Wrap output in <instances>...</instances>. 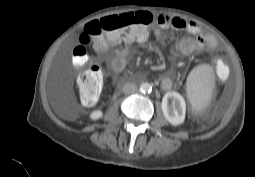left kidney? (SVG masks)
Listing matches in <instances>:
<instances>
[{
  "instance_id": "left-kidney-1",
  "label": "left kidney",
  "mask_w": 255,
  "mask_h": 177,
  "mask_svg": "<svg viewBox=\"0 0 255 177\" xmlns=\"http://www.w3.org/2000/svg\"><path fill=\"white\" fill-rule=\"evenodd\" d=\"M174 100L173 105H169L168 99ZM162 111L166 120L174 125H180L185 120L186 104L184 98L177 92H167L161 103Z\"/></svg>"
}]
</instances>
